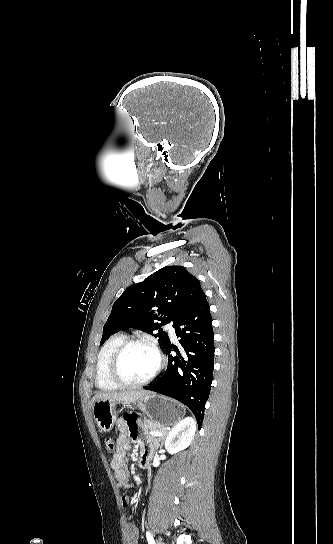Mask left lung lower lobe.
I'll return each instance as SVG.
<instances>
[{
	"label": "left lung lower lobe",
	"instance_id": "left-lung-lower-lobe-1",
	"mask_svg": "<svg viewBox=\"0 0 333 544\" xmlns=\"http://www.w3.org/2000/svg\"><path fill=\"white\" fill-rule=\"evenodd\" d=\"M181 354L169 343L165 348L168 367L154 384L143 387L172 397L188 406L201 428L214 368V333L209 303L203 293L174 325ZM172 350L177 352L173 357Z\"/></svg>",
	"mask_w": 333,
	"mask_h": 544
}]
</instances>
